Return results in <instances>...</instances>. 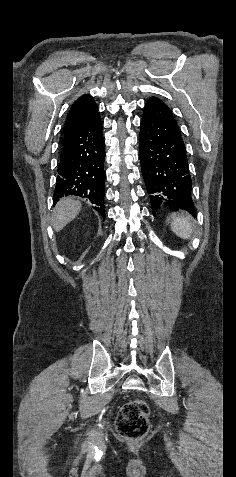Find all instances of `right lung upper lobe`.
<instances>
[{
    "mask_svg": "<svg viewBox=\"0 0 236 477\" xmlns=\"http://www.w3.org/2000/svg\"><path fill=\"white\" fill-rule=\"evenodd\" d=\"M97 113V106L91 96L85 94L79 97L72 105L65 122L64 138L83 128Z\"/></svg>",
    "mask_w": 236,
    "mask_h": 477,
    "instance_id": "right-lung-upper-lobe-1",
    "label": "right lung upper lobe"
}]
</instances>
